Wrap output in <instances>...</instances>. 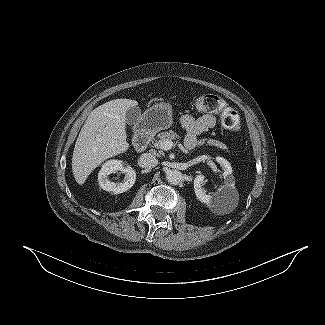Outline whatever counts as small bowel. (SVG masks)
Wrapping results in <instances>:
<instances>
[{"mask_svg": "<svg viewBox=\"0 0 325 325\" xmlns=\"http://www.w3.org/2000/svg\"><path fill=\"white\" fill-rule=\"evenodd\" d=\"M179 123L187 133L185 146L192 149L197 144V137L216 125V118L212 114H204L198 118L185 114L180 117Z\"/></svg>", "mask_w": 325, "mask_h": 325, "instance_id": "obj_1", "label": "small bowel"}]
</instances>
